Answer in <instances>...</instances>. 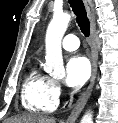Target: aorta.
<instances>
[{
    "label": "aorta",
    "mask_w": 118,
    "mask_h": 123,
    "mask_svg": "<svg viewBox=\"0 0 118 123\" xmlns=\"http://www.w3.org/2000/svg\"><path fill=\"white\" fill-rule=\"evenodd\" d=\"M70 20L71 15L69 13L54 15L46 31V63L44 70L54 77H63L65 75L61 42ZM81 123H93L92 111L85 113Z\"/></svg>",
    "instance_id": "obj_1"
}]
</instances>
